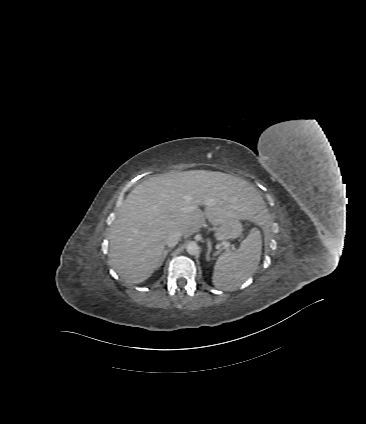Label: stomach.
<instances>
[{
	"label": "stomach",
	"instance_id": "1",
	"mask_svg": "<svg viewBox=\"0 0 366 424\" xmlns=\"http://www.w3.org/2000/svg\"><path fill=\"white\" fill-rule=\"evenodd\" d=\"M243 231L240 220L220 224L215 231L217 241L225 242L229 239H235L241 235Z\"/></svg>",
	"mask_w": 366,
	"mask_h": 424
}]
</instances>
